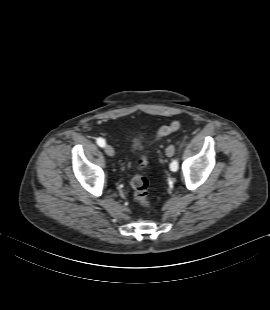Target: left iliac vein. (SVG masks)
<instances>
[{
  "label": "left iliac vein",
  "instance_id": "1",
  "mask_svg": "<svg viewBox=\"0 0 270 310\" xmlns=\"http://www.w3.org/2000/svg\"><path fill=\"white\" fill-rule=\"evenodd\" d=\"M174 151H175V146H174V145H169V146L167 147V149H166V155H167L168 157H171V156H173Z\"/></svg>",
  "mask_w": 270,
  "mask_h": 310
}]
</instances>
